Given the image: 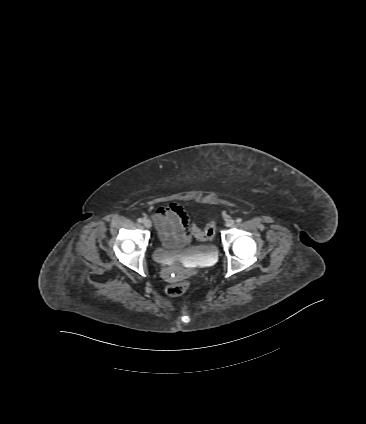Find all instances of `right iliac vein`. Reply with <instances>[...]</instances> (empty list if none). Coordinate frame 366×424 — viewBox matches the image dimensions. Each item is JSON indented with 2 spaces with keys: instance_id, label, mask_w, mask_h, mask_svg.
Here are the masks:
<instances>
[{
  "instance_id": "obj_1",
  "label": "right iliac vein",
  "mask_w": 366,
  "mask_h": 424,
  "mask_svg": "<svg viewBox=\"0 0 366 424\" xmlns=\"http://www.w3.org/2000/svg\"><path fill=\"white\" fill-rule=\"evenodd\" d=\"M143 224L146 228H150L152 226V223L149 219H144Z\"/></svg>"
}]
</instances>
